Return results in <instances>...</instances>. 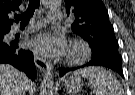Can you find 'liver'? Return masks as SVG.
Segmentation results:
<instances>
[{
  "instance_id": "liver-1",
  "label": "liver",
  "mask_w": 135,
  "mask_h": 95,
  "mask_svg": "<svg viewBox=\"0 0 135 95\" xmlns=\"http://www.w3.org/2000/svg\"><path fill=\"white\" fill-rule=\"evenodd\" d=\"M30 80L10 65L0 64V95H25Z\"/></svg>"
}]
</instances>
